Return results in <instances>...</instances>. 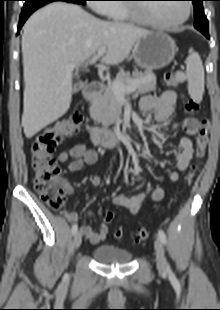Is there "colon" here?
I'll return each mask as SVG.
<instances>
[{
    "instance_id": "5ec220e1",
    "label": "colon",
    "mask_w": 220,
    "mask_h": 310,
    "mask_svg": "<svg viewBox=\"0 0 220 310\" xmlns=\"http://www.w3.org/2000/svg\"><path fill=\"white\" fill-rule=\"evenodd\" d=\"M184 80L185 75L181 72H168L165 75V82L170 87H178ZM197 109V102L192 99L186 101L185 110L187 112L193 113ZM82 120V113L73 111L68 116L36 134L30 146L31 166L34 172V188L52 210H59L64 206L68 188L60 177L61 170L53 157V151L64 138L77 132ZM210 130V121L207 119L203 120L195 137V161L189 167L184 178L186 184L193 180L199 169V164L205 156ZM113 219L114 214L112 212L109 211L105 214V222L110 223ZM149 236V230L140 229L136 234V241L141 242ZM115 237L122 239L124 237L123 230H116Z\"/></svg>"
}]
</instances>
